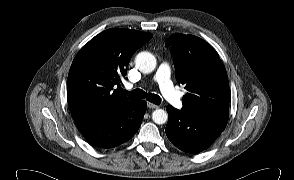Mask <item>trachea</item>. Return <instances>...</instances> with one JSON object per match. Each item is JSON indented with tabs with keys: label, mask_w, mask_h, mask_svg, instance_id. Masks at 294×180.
Listing matches in <instances>:
<instances>
[{
	"label": "trachea",
	"mask_w": 294,
	"mask_h": 180,
	"mask_svg": "<svg viewBox=\"0 0 294 180\" xmlns=\"http://www.w3.org/2000/svg\"><path fill=\"white\" fill-rule=\"evenodd\" d=\"M122 92L131 98H135V99H145L146 98L149 102L156 104V105L161 103V98L157 94L146 93L141 89H135L131 92H128L126 90H122Z\"/></svg>",
	"instance_id": "trachea-1"
}]
</instances>
